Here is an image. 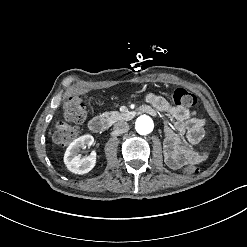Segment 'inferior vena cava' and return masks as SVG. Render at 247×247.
<instances>
[{
  "label": "inferior vena cava",
  "instance_id": "obj_1",
  "mask_svg": "<svg viewBox=\"0 0 247 247\" xmlns=\"http://www.w3.org/2000/svg\"><path fill=\"white\" fill-rule=\"evenodd\" d=\"M129 130V125L127 122L121 121L114 125V132L116 134H123Z\"/></svg>",
  "mask_w": 247,
  "mask_h": 247
}]
</instances>
